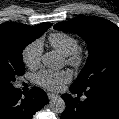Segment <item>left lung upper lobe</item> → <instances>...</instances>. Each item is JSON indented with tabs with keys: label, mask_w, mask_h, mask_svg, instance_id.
<instances>
[{
	"label": "left lung upper lobe",
	"mask_w": 119,
	"mask_h": 119,
	"mask_svg": "<svg viewBox=\"0 0 119 119\" xmlns=\"http://www.w3.org/2000/svg\"><path fill=\"white\" fill-rule=\"evenodd\" d=\"M54 28L77 33L88 45L86 65L72 85L82 91L95 87L119 89V28L115 24L95 16H79Z\"/></svg>",
	"instance_id": "1"
}]
</instances>
